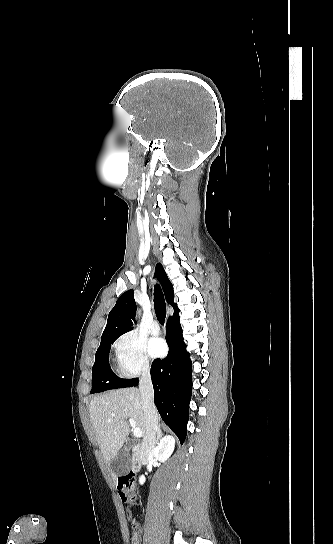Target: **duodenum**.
Masks as SVG:
<instances>
[{
  "label": "duodenum",
  "mask_w": 333,
  "mask_h": 544,
  "mask_svg": "<svg viewBox=\"0 0 333 544\" xmlns=\"http://www.w3.org/2000/svg\"><path fill=\"white\" fill-rule=\"evenodd\" d=\"M150 449L146 448L144 446L135 445L132 448V471L134 473H137L142 466H144L149 457H150Z\"/></svg>",
  "instance_id": "1"
}]
</instances>
